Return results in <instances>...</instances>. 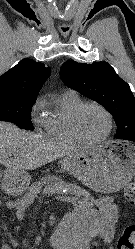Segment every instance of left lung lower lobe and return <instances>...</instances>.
<instances>
[{
	"instance_id": "left-lung-lower-lobe-1",
	"label": "left lung lower lobe",
	"mask_w": 135,
	"mask_h": 249,
	"mask_svg": "<svg viewBox=\"0 0 135 249\" xmlns=\"http://www.w3.org/2000/svg\"><path fill=\"white\" fill-rule=\"evenodd\" d=\"M128 140H131V141H134V142H135V138H130V139H128Z\"/></svg>"
}]
</instances>
